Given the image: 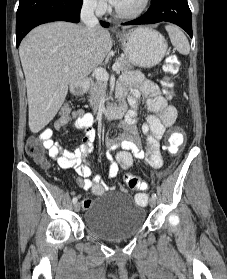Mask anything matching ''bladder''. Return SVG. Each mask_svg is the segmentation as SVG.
Listing matches in <instances>:
<instances>
[{
  "label": "bladder",
  "mask_w": 227,
  "mask_h": 279,
  "mask_svg": "<svg viewBox=\"0 0 227 279\" xmlns=\"http://www.w3.org/2000/svg\"><path fill=\"white\" fill-rule=\"evenodd\" d=\"M145 210L128 194L103 193L93 199L84 214L86 229L106 241H118L135 235L143 226Z\"/></svg>",
  "instance_id": "bladder-1"
}]
</instances>
